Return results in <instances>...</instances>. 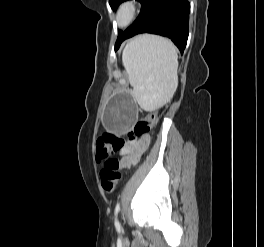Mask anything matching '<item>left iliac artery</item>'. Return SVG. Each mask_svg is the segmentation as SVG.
Wrapping results in <instances>:
<instances>
[{"mask_svg":"<svg viewBox=\"0 0 264 247\" xmlns=\"http://www.w3.org/2000/svg\"><path fill=\"white\" fill-rule=\"evenodd\" d=\"M119 210H120V204L117 203V205L115 207V212H114V214H115V224H118L117 215H118Z\"/></svg>","mask_w":264,"mask_h":247,"instance_id":"1","label":"left iliac artery"}]
</instances>
